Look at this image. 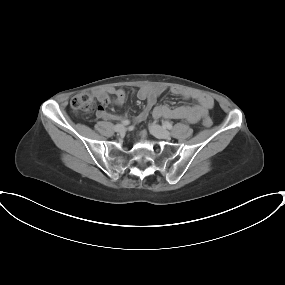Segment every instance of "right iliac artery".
Masks as SVG:
<instances>
[{"instance_id":"1","label":"right iliac artery","mask_w":285,"mask_h":285,"mask_svg":"<svg viewBox=\"0 0 285 285\" xmlns=\"http://www.w3.org/2000/svg\"><path fill=\"white\" fill-rule=\"evenodd\" d=\"M129 123H130L129 120H123V121H122V124H124V125H128Z\"/></svg>"}]
</instances>
